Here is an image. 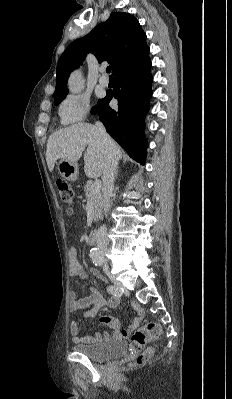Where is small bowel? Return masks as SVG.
<instances>
[{"mask_svg":"<svg viewBox=\"0 0 232 399\" xmlns=\"http://www.w3.org/2000/svg\"><path fill=\"white\" fill-rule=\"evenodd\" d=\"M83 259V254L76 248L69 250V274L74 279H87V274L83 270L80 261ZM93 276H101L98 269L92 270ZM104 281L107 280L104 278ZM107 303L110 307L114 308L117 305V299H111L107 302L104 297L97 291L96 288L90 287V293L82 298L77 299V293L74 288L69 290V313L75 314L76 317L72 318L69 325L70 341L79 345H97L100 343V333L96 332L92 338L82 335L80 333V322L84 318L94 317L97 314L99 306ZM133 306L136 310L134 321L131 325L122 327L118 319L113 316H104L100 320L109 325L114 332V337H120L125 333L133 332L144 319V309L133 301Z\"/></svg>","mask_w":232,"mask_h":399,"instance_id":"c3829d8e","label":"small bowel"}]
</instances>
